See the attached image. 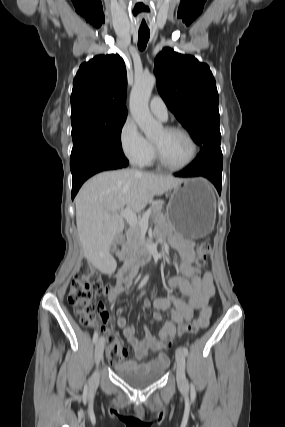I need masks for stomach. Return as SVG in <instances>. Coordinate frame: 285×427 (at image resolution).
Returning a JSON list of instances; mask_svg holds the SVG:
<instances>
[{
    "label": "stomach",
    "mask_w": 285,
    "mask_h": 427,
    "mask_svg": "<svg viewBox=\"0 0 285 427\" xmlns=\"http://www.w3.org/2000/svg\"><path fill=\"white\" fill-rule=\"evenodd\" d=\"M216 198L207 180L185 179L173 189L166 210L171 229L188 239L207 236L214 228Z\"/></svg>",
    "instance_id": "1"
}]
</instances>
